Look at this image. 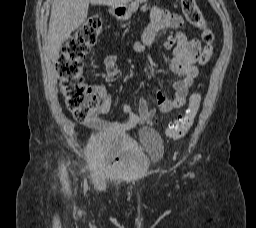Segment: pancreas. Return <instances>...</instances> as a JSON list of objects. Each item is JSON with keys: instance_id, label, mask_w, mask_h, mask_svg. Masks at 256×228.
Here are the masks:
<instances>
[{"instance_id": "pancreas-1", "label": "pancreas", "mask_w": 256, "mask_h": 228, "mask_svg": "<svg viewBox=\"0 0 256 228\" xmlns=\"http://www.w3.org/2000/svg\"><path fill=\"white\" fill-rule=\"evenodd\" d=\"M146 1H147V0H135V1L132 2L131 5H130L131 10H132L133 12H135V11L138 9L139 4H140V3H143V2H146Z\"/></svg>"}]
</instances>
